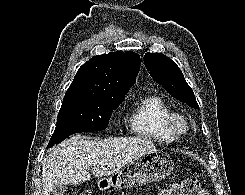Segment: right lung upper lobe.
<instances>
[{
  "label": "right lung upper lobe",
  "mask_w": 245,
  "mask_h": 195,
  "mask_svg": "<svg viewBox=\"0 0 245 195\" xmlns=\"http://www.w3.org/2000/svg\"><path fill=\"white\" fill-rule=\"evenodd\" d=\"M139 71L140 56L134 52L96 55L79 68L66 95L91 94L124 99Z\"/></svg>",
  "instance_id": "obj_1"
}]
</instances>
